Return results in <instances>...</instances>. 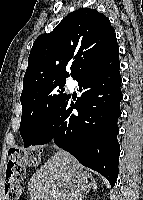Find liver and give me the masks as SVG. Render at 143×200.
Segmentation results:
<instances>
[{
  "label": "liver",
  "mask_w": 143,
  "mask_h": 200,
  "mask_svg": "<svg viewBox=\"0 0 143 200\" xmlns=\"http://www.w3.org/2000/svg\"><path fill=\"white\" fill-rule=\"evenodd\" d=\"M91 179L71 154L59 150L29 179L28 190L31 200H80L90 190Z\"/></svg>",
  "instance_id": "1"
}]
</instances>
